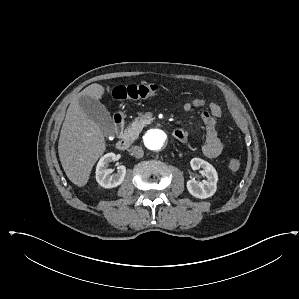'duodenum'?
<instances>
[{
  "mask_svg": "<svg viewBox=\"0 0 299 299\" xmlns=\"http://www.w3.org/2000/svg\"><path fill=\"white\" fill-rule=\"evenodd\" d=\"M124 127V116L121 113H115L114 115V128L116 133L120 134L123 131ZM173 135L176 139L184 141L186 139V135L183 131L174 129ZM131 143L128 139L121 137L116 143V147L119 150H127L130 147Z\"/></svg>",
  "mask_w": 299,
  "mask_h": 299,
  "instance_id": "duodenum-1",
  "label": "duodenum"
}]
</instances>
